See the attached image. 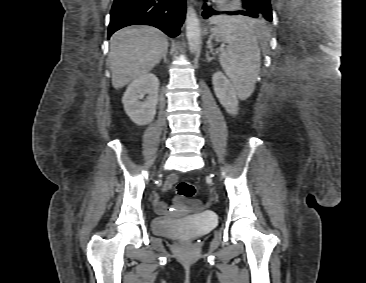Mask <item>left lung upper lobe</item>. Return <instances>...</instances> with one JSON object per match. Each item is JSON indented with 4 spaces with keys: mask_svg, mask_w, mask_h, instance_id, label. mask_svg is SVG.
<instances>
[{
    "mask_svg": "<svg viewBox=\"0 0 366 283\" xmlns=\"http://www.w3.org/2000/svg\"><path fill=\"white\" fill-rule=\"evenodd\" d=\"M252 2L255 8L261 10L262 15L260 19L265 18L268 21H272V9L271 0H249Z\"/></svg>",
    "mask_w": 366,
    "mask_h": 283,
    "instance_id": "5c2ea615",
    "label": "left lung upper lobe"
}]
</instances>
